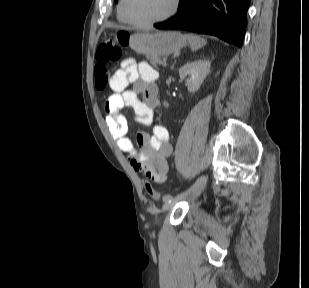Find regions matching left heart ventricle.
I'll list each match as a JSON object with an SVG mask.
<instances>
[{
  "label": "left heart ventricle",
  "instance_id": "obj_1",
  "mask_svg": "<svg viewBox=\"0 0 309 288\" xmlns=\"http://www.w3.org/2000/svg\"><path fill=\"white\" fill-rule=\"evenodd\" d=\"M172 7V0H127L128 15L136 21H149L166 14Z\"/></svg>",
  "mask_w": 309,
  "mask_h": 288
}]
</instances>
